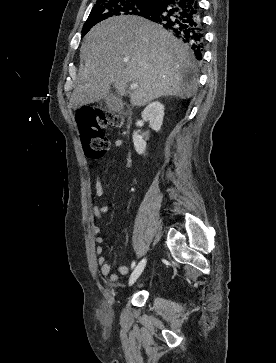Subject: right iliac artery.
<instances>
[{"label":"right iliac artery","instance_id":"right-iliac-artery-1","mask_svg":"<svg viewBox=\"0 0 276 363\" xmlns=\"http://www.w3.org/2000/svg\"><path fill=\"white\" fill-rule=\"evenodd\" d=\"M134 266H135V263L132 264V268H134ZM143 269H144V267L141 266L140 269H139V271H138V273L140 274L143 271Z\"/></svg>","mask_w":276,"mask_h":363}]
</instances>
